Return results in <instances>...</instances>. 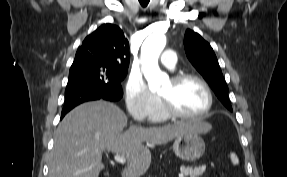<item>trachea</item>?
Masks as SVG:
<instances>
[{"mask_svg":"<svg viewBox=\"0 0 287 177\" xmlns=\"http://www.w3.org/2000/svg\"><path fill=\"white\" fill-rule=\"evenodd\" d=\"M150 0H139V3L141 4L142 7H146L148 5Z\"/></svg>","mask_w":287,"mask_h":177,"instance_id":"3493384b","label":"trachea"}]
</instances>
